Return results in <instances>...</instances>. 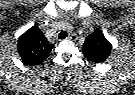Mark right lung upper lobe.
Segmentation results:
<instances>
[{"instance_id": "right-lung-upper-lobe-1", "label": "right lung upper lobe", "mask_w": 135, "mask_h": 95, "mask_svg": "<svg viewBox=\"0 0 135 95\" xmlns=\"http://www.w3.org/2000/svg\"><path fill=\"white\" fill-rule=\"evenodd\" d=\"M50 44L39 27L35 24L19 37L17 52L22 62L29 66L42 64L50 54Z\"/></svg>"}]
</instances>
